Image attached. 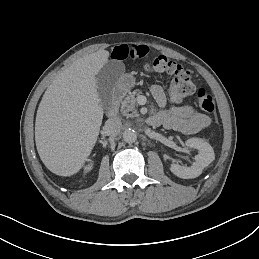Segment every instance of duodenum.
Wrapping results in <instances>:
<instances>
[{
	"label": "duodenum",
	"instance_id": "duodenum-1",
	"mask_svg": "<svg viewBox=\"0 0 259 259\" xmlns=\"http://www.w3.org/2000/svg\"><path fill=\"white\" fill-rule=\"evenodd\" d=\"M124 94L125 88L122 86H118L113 90L111 95V101L106 108L107 116L112 117L117 113L119 102L123 98ZM148 123L152 124L153 119L149 118Z\"/></svg>",
	"mask_w": 259,
	"mask_h": 259
}]
</instances>
